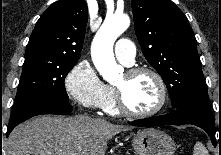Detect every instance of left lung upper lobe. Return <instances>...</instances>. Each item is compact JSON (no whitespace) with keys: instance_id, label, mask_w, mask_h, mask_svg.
I'll return each mask as SVG.
<instances>
[{"instance_id":"obj_1","label":"left lung upper lobe","mask_w":221,"mask_h":155,"mask_svg":"<svg viewBox=\"0 0 221 155\" xmlns=\"http://www.w3.org/2000/svg\"><path fill=\"white\" fill-rule=\"evenodd\" d=\"M132 11L142 52L164 80L172 107L208 93L196 39L183 12L171 0H132Z\"/></svg>"}]
</instances>
